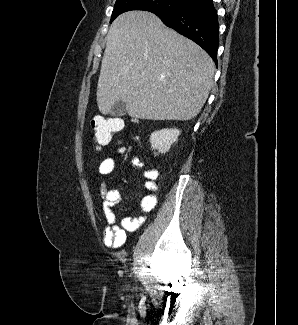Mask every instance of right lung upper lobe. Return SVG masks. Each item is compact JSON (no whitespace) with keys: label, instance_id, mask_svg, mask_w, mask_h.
I'll list each match as a JSON object with an SVG mask.
<instances>
[{"label":"right lung upper lobe","instance_id":"1","mask_svg":"<svg viewBox=\"0 0 298 325\" xmlns=\"http://www.w3.org/2000/svg\"><path fill=\"white\" fill-rule=\"evenodd\" d=\"M161 12H164V11H159V12H157V13H161Z\"/></svg>","mask_w":298,"mask_h":325}]
</instances>
